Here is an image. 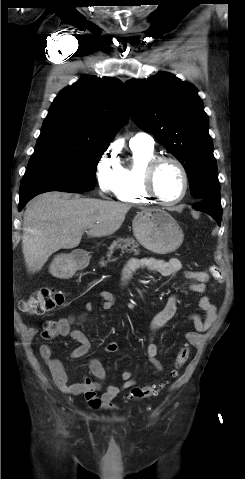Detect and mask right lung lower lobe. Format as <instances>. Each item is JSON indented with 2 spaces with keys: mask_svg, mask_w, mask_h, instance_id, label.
<instances>
[{
  "mask_svg": "<svg viewBox=\"0 0 245 479\" xmlns=\"http://www.w3.org/2000/svg\"><path fill=\"white\" fill-rule=\"evenodd\" d=\"M48 191H63V192H71V193H81V191L69 190L61 187L56 186H37L25 189L20 191V203H19V211L26 205V203L32 199L34 196L48 192Z\"/></svg>",
  "mask_w": 245,
  "mask_h": 479,
  "instance_id": "right-lung-lower-lobe-1",
  "label": "right lung lower lobe"
}]
</instances>
